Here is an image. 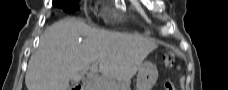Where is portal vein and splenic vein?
<instances>
[{
    "label": "portal vein and splenic vein",
    "instance_id": "18ae733b",
    "mask_svg": "<svg viewBox=\"0 0 228 90\" xmlns=\"http://www.w3.org/2000/svg\"><path fill=\"white\" fill-rule=\"evenodd\" d=\"M89 69L92 71L91 73H89L90 78H93V71H95V70H96V68H95V67H86V68H84V69H83V71H82V72L87 73Z\"/></svg>",
    "mask_w": 228,
    "mask_h": 90
}]
</instances>
